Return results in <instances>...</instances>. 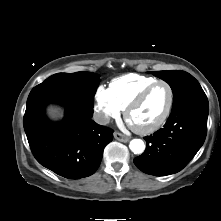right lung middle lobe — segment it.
<instances>
[{"instance_id":"1","label":"right lung middle lobe","mask_w":221,"mask_h":221,"mask_svg":"<svg viewBox=\"0 0 221 221\" xmlns=\"http://www.w3.org/2000/svg\"><path fill=\"white\" fill-rule=\"evenodd\" d=\"M92 72L57 73L32 89L27 106L42 100H56L93 113V98L100 83Z\"/></svg>"}]
</instances>
